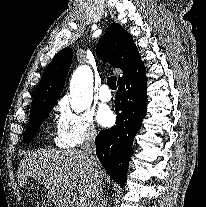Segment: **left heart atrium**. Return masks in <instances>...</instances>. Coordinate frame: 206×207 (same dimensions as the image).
<instances>
[{
  "mask_svg": "<svg viewBox=\"0 0 206 207\" xmlns=\"http://www.w3.org/2000/svg\"><path fill=\"white\" fill-rule=\"evenodd\" d=\"M97 119L102 126H110L113 123L114 116L108 107H103L99 110Z\"/></svg>",
  "mask_w": 206,
  "mask_h": 207,
  "instance_id": "1",
  "label": "left heart atrium"
}]
</instances>
